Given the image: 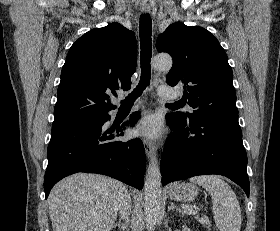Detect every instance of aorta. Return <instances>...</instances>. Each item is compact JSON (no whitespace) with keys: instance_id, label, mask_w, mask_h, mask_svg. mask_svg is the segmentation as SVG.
I'll use <instances>...</instances> for the list:
<instances>
[{"instance_id":"aorta-1","label":"aorta","mask_w":280,"mask_h":231,"mask_svg":"<svg viewBox=\"0 0 280 231\" xmlns=\"http://www.w3.org/2000/svg\"><path fill=\"white\" fill-rule=\"evenodd\" d=\"M152 66L155 70H170L172 66V58L168 54H160L152 60ZM162 209V189H161V173L156 155L150 159L148 165L145 191H144V211L145 223L148 231H154L157 219Z\"/></svg>"}]
</instances>
